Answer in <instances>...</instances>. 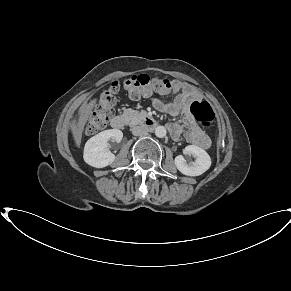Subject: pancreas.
<instances>
[{
    "label": "pancreas",
    "instance_id": "cf45deb5",
    "mask_svg": "<svg viewBox=\"0 0 291 291\" xmlns=\"http://www.w3.org/2000/svg\"><path fill=\"white\" fill-rule=\"evenodd\" d=\"M123 116H125L129 122L130 126H133L140 122V120L147 116L146 111H137L132 109H125L123 111Z\"/></svg>",
    "mask_w": 291,
    "mask_h": 291
}]
</instances>
